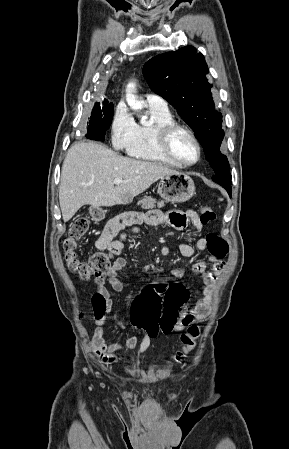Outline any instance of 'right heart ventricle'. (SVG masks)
Listing matches in <instances>:
<instances>
[{
    "mask_svg": "<svg viewBox=\"0 0 289 449\" xmlns=\"http://www.w3.org/2000/svg\"><path fill=\"white\" fill-rule=\"evenodd\" d=\"M149 113L151 116L149 123L137 124V139L128 150L129 154L143 160L178 166L162 153L158 143V128L165 124L174 123L173 115L168 108L159 109L150 106Z\"/></svg>",
    "mask_w": 289,
    "mask_h": 449,
    "instance_id": "obj_1",
    "label": "right heart ventricle"
}]
</instances>
